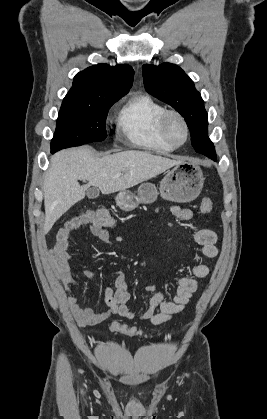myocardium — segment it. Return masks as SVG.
I'll use <instances>...</instances> for the list:
<instances>
[{
    "mask_svg": "<svg viewBox=\"0 0 267 419\" xmlns=\"http://www.w3.org/2000/svg\"><path fill=\"white\" fill-rule=\"evenodd\" d=\"M171 118L178 119L184 127L185 138L181 143L174 142L169 135L168 124H169V121H170ZM159 133H160L162 139L167 144H169L173 148H178V147L182 146L183 144H185L187 142V140L189 138L190 130H189V125L187 123V120L185 119V117L183 116L182 113H180L178 110H175V109H166L162 113V115L160 116V119H159Z\"/></svg>",
    "mask_w": 267,
    "mask_h": 419,
    "instance_id": "1",
    "label": "myocardium"
}]
</instances>
